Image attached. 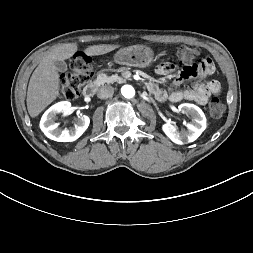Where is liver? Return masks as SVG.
<instances>
[{
    "label": "liver",
    "mask_w": 253,
    "mask_h": 253,
    "mask_svg": "<svg viewBox=\"0 0 253 253\" xmlns=\"http://www.w3.org/2000/svg\"><path fill=\"white\" fill-rule=\"evenodd\" d=\"M117 47L119 45H93L87 47L85 53L92 56L103 55ZM77 50L76 43H64L47 52L40 61L30 78L27 91V109L31 117L38 116L59 95V73L55 61L68 59Z\"/></svg>",
    "instance_id": "1"
}]
</instances>
